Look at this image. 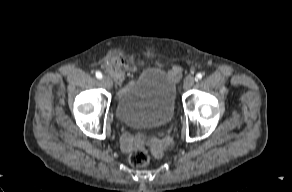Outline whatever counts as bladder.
<instances>
[{
  "mask_svg": "<svg viewBox=\"0 0 292 192\" xmlns=\"http://www.w3.org/2000/svg\"><path fill=\"white\" fill-rule=\"evenodd\" d=\"M176 92L174 81L158 68H147L122 91L116 116L130 126H161L174 116Z\"/></svg>",
  "mask_w": 292,
  "mask_h": 192,
  "instance_id": "1",
  "label": "bladder"
}]
</instances>
